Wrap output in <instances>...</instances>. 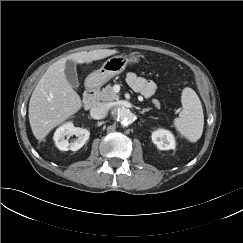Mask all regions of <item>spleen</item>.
I'll return each mask as SVG.
<instances>
[{
    "label": "spleen",
    "instance_id": "1",
    "mask_svg": "<svg viewBox=\"0 0 243 243\" xmlns=\"http://www.w3.org/2000/svg\"><path fill=\"white\" fill-rule=\"evenodd\" d=\"M181 102L183 110L174 119L173 125L183 137L195 143L201 138L204 127L201 101L192 88L186 87L182 91Z\"/></svg>",
    "mask_w": 243,
    "mask_h": 243
}]
</instances>
